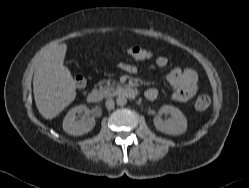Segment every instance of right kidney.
I'll use <instances>...</instances> for the list:
<instances>
[{"instance_id":"ca27d5eb","label":"right kidney","mask_w":249,"mask_h":188,"mask_svg":"<svg viewBox=\"0 0 249 188\" xmlns=\"http://www.w3.org/2000/svg\"><path fill=\"white\" fill-rule=\"evenodd\" d=\"M85 112L89 115L90 110L85 105H79L67 113L63 120V130L73 136H81L91 131L95 126V119L88 116L85 120L76 121V114Z\"/></svg>"}]
</instances>
